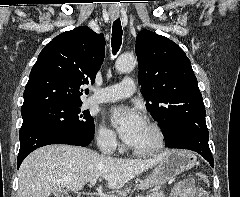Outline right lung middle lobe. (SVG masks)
Wrapping results in <instances>:
<instances>
[{
	"label": "right lung middle lobe",
	"mask_w": 240,
	"mask_h": 197,
	"mask_svg": "<svg viewBox=\"0 0 240 197\" xmlns=\"http://www.w3.org/2000/svg\"><path fill=\"white\" fill-rule=\"evenodd\" d=\"M82 102L48 103L22 110V118H44L72 128L76 133L94 134V120L89 111H81Z\"/></svg>",
	"instance_id": "obj_1"
}]
</instances>
